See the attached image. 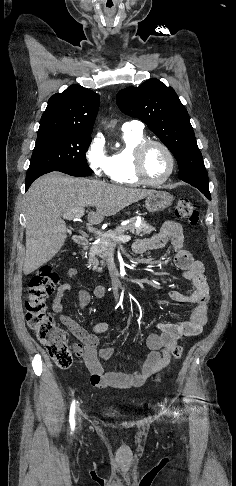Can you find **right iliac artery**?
I'll return each mask as SVG.
<instances>
[{"label": "right iliac artery", "mask_w": 236, "mask_h": 486, "mask_svg": "<svg viewBox=\"0 0 236 486\" xmlns=\"http://www.w3.org/2000/svg\"><path fill=\"white\" fill-rule=\"evenodd\" d=\"M74 415H75V402H73L72 405H71L70 416H69L70 426H71L72 430H74V427H75Z\"/></svg>", "instance_id": "obj_1"}]
</instances>
